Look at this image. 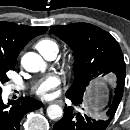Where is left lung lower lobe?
Returning <instances> with one entry per match:
<instances>
[{
	"instance_id": "1",
	"label": "left lung lower lobe",
	"mask_w": 130,
	"mask_h": 130,
	"mask_svg": "<svg viewBox=\"0 0 130 130\" xmlns=\"http://www.w3.org/2000/svg\"><path fill=\"white\" fill-rule=\"evenodd\" d=\"M76 106L82 103V99L69 98ZM120 102L113 101L109 106L103 120H95L86 115L76 112L73 107L65 106L64 115L53 127V130H105Z\"/></svg>"
}]
</instances>
